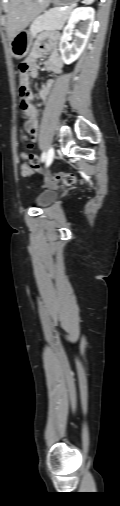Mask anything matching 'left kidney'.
Returning <instances> with one entry per match:
<instances>
[{
  "label": "left kidney",
  "instance_id": "left-kidney-1",
  "mask_svg": "<svg viewBox=\"0 0 120 506\" xmlns=\"http://www.w3.org/2000/svg\"><path fill=\"white\" fill-rule=\"evenodd\" d=\"M80 20L83 21L80 30L75 32V38L72 44H69L68 39L75 27V23ZM93 22L94 9L91 7H79L71 12L59 43V50L65 64H71L80 57L91 34Z\"/></svg>",
  "mask_w": 120,
  "mask_h": 506
}]
</instances>
